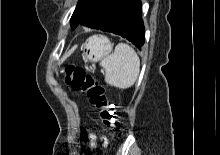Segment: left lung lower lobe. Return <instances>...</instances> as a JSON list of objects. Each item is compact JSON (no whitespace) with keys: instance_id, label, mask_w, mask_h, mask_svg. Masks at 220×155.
<instances>
[{"instance_id":"1","label":"left lung lower lobe","mask_w":220,"mask_h":155,"mask_svg":"<svg viewBox=\"0 0 220 155\" xmlns=\"http://www.w3.org/2000/svg\"><path fill=\"white\" fill-rule=\"evenodd\" d=\"M79 24L120 35L138 49L145 41L140 0H97Z\"/></svg>"}]
</instances>
